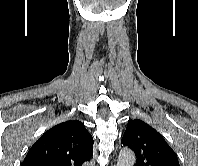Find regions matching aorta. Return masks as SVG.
Here are the masks:
<instances>
[{
	"mask_svg": "<svg viewBox=\"0 0 198 166\" xmlns=\"http://www.w3.org/2000/svg\"><path fill=\"white\" fill-rule=\"evenodd\" d=\"M135 154L131 149L123 148L118 157L117 166H134Z\"/></svg>",
	"mask_w": 198,
	"mask_h": 166,
	"instance_id": "aorta-1",
	"label": "aorta"
}]
</instances>
